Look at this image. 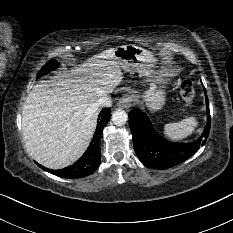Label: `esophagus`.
<instances>
[{
  "mask_svg": "<svg viewBox=\"0 0 233 233\" xmlns=\"http://www.w3.org/2000/svg\"><path fill=\"white\" fill-rule=\"evenodd\" d=\"M134 97L132 95H125L124 97H122L119 102H118V106L120 108H129L134 104Z\"/></svg>",
  "mask_w": 233,
  "mask_h": 233,
  "instance_id": "esophagus-1",
  "label": "esophagus"
}]
</instances>
